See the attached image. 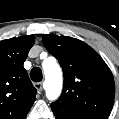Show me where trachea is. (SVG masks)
Returning <instances> with one entry per match:
<instances>
[{
	"label": "trachea",
	"mask_w": 119,
	"mask_h": 119,
	"mask_svg": "<svg viewBox=\"0 0 119 119\" xmlns=\"http://www.w3.org/2000/svg\"><path fill=\"white\" fill-rule=\"evenodd\" d=\"M30 77L34 82H40L42 81V70L39 67H34L30 71Z\"/></svg>",
	"instance_id": "1"
}]
</instances>
